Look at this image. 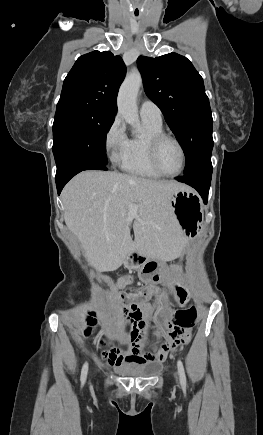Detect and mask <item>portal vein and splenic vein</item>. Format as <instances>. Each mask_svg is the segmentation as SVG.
Listing matches in <instances>:
<instances>
[{
  "label": "portal vein and splenic vein",
  "instance_id": "1",
  "mask_svg": "<svg viewBox=\"0 0 263 435\" xmlns=\"http://www.w3.org/2000/svg\"><path fill=\"white\" fill-rule=\"evenodd\" d=\"M136 210H137V206L136 205H129L128 206V211H129V214H128V218H127V220H132L134 217H136Z\"/></svg>",
  "mask_w": 263,
  "mask_h": 435
}]
</instances>
